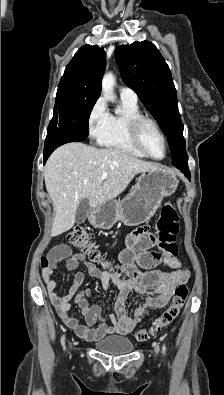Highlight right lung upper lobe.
Instances as JSON below:
<instances>
[{
    "instance_id": "cb5924a9",
    "label": "right lung upper lobe",
    "mask_w": 224,
    "mask_h": 395,
    "mask_svg": "<svg viewBox=\"0 0 224 395\" xmlns=\"http://www.w3.org/2000/svg\"><path fill=\"white\" fill-rule=\"evenodd\" d=\"M105 66L104 49L97 45H84L67 65L59 85L100 96Z\"/></svg>"
}]
</instances>
